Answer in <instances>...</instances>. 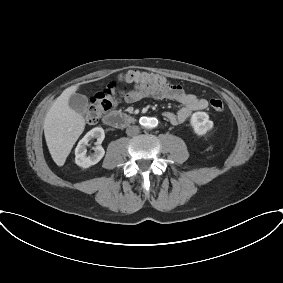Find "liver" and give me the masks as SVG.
I'll return each instance as SVG.
<instances>
[{
  "mask_svg": "<svg viewBox=\"0 0 283 283\" xmlns=\"http://www.w3.org/2000/svg\"><path fill=\"white\" fill-rule=\"evenodd\" d=\"M73 85L55 100L44 119V135L52 159L63 166L85 128L84 118L69 107V97L78 89Z\"/></svg>",
  "mask_w": 283,
  "mask_h": 283,
  "instance_id": "obj_1",
  "label": "liver"
}]
</instances>
